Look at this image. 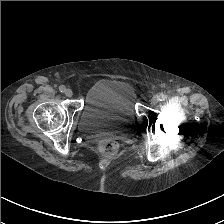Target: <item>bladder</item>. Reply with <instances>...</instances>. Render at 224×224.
I'll return each mask as SVG.
<instances>
[{
    "label": "bladder",
    "mask_w": 224,
    "mask_h": 224,
    "mask_svg": "<svg viewBox=\"0 0 224 224\" xmlns=\"http://www.w3.org/2000/svg\"><path fill=\"white\" fill-rule=\"evenodd\" d=\"M135 123L132 94L120 80L99 79L86 93L78 122L81 133L128 136Z\"/></svg>",
    "instance_id": "1"
}]
</instances>
